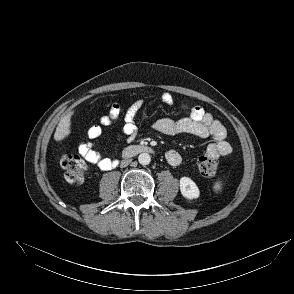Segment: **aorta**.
<instances>
[{"instance_id": "aorta-1", "label": "aorta", "mask_w": 294, "mask_h": 294, "mask_svg": "<svg viewBox=\"0 0 294 294\" xmlns=\"http://www.w3.org/2000/svg\"><path fill=\"white\" fill-rule=\"evenodd\" d=\"M138 161L141 165H148L151 162V156L148 153H141L138 156Z\"/></svg>"}]
</instances>
